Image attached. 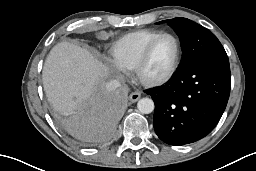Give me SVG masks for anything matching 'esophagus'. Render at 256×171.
Returning <instances> with one entry per match:
<instances>
[{"instance_id": "obj_1", "label": "esophagus", "mask_w": 256, "mask_h": 171, "mask_svg": "<svg viewBox=\"0 0 256 171\" xmlns=\"http://www.w3.org/2000/svg\"><path fill=\"white\" fill-rule=\"evenodd\" d=\"M141 97V94L139 92H133L129 95V101L131 103L137 102Z\"/></svg>"}]
</instances>
